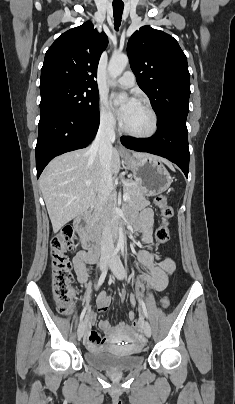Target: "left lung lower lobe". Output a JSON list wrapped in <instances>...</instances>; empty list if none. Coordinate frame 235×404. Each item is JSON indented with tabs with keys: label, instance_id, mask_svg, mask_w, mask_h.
Here are the masks:
<instances>
[{
	"label": "left lung lower lobe",
	"instance_id": "1",
	"mask_svg": "<svg viewBox=\"0 0 235 404\" xmlns=\"http://www.w3.org/2000/svg\"><path fill=\"white\" fill-rule=\"evenodd\" d=\"M186 120L172 119L158 125L157 133L147 139L121 137L122 144L139 152H148L167 158L178 165L188 177L189 147Z\"/></svg>",
	"mask_w": 235,
	"mask_h": 404
}]
</instances>
